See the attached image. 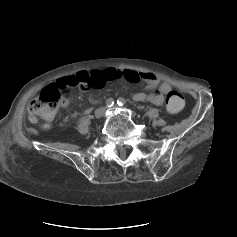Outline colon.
Wrapping results in <instances>:
<instances>
[{"label":"colon","instance_id":"obj_1","mask_svg":"<svg viewBox=\"0 0 237 237\" xmlns=\"http://www.w3.org/2000/svg\"><path fill=\"white\" fill-rule=\"evenodd\" d=\"M101 83L98 74L81 73L76 76L60 80L55 85L45 88L35 99L29 104V119L31 123L47 124L56 114L59 107L70 96V89L77 87L86 90ZM184 106L183 96L171 90L166 99V107L170 113H178Z\"/></svg>","mask_w":237,"mask_h":237}]
</instances>
